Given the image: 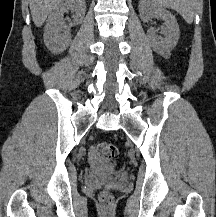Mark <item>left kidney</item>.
Here are the masks:
<instances>
[{"mask_svg":"<svg viewBox=\"0 0 216 217\" xmlns=\"http://www.w3.org/2000/svg\"><path fill=\"white\" fill-rule=\"evenodd\" d=\"M139 14L143 22H148L154 15L165 21L166 27L162 31L165 36L164 38H159L154 28H150L147 34L153 50L163 57L167 56L176 46L180 36L179 26L175 16L166 9L152 3L150 0H140Z\"/></svg>","mask_w":216,"mask_h":217,"instance_id":"obj_1","label":"left kidney"}]
</instances>
